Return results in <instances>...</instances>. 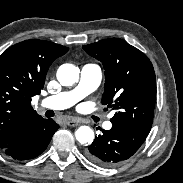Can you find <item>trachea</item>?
Masks as SVG:
<instances>
[{
  "mask_svg": "<svg viewBox=\"0 0 183 183\" xmlns=\"http://www.w3.org/2000/svg\"><path fill=\"white\" fill-rule=\"evenodd\" d=\"M47 117H50V115H49V114H47Z\"/></svg>",
  "mask_w": 183,
  "mask_h": 183,
  "instance_id": "obj_1",
  "label": "trachea"
}]
</instances>
